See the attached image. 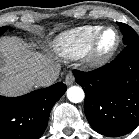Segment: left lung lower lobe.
I'll use <instances>...</instances> for the list:
<instances>
[{
  "instance_id": "obj_1",
  "label": "left lung lower lobe",
  "mask_w": 139,
  "mask_h": 139,
  "mask_svg": "<svg viewBox=\"0 0 139 139\" xmlns=\"http://www.w3.org/2000/svg\"><path fill=\"white\" fill-rule=\"evenodd\" d=\"M73 73L85 92L84 111L95 131L117 137L139 125V42L126 45L102 68Z\"/></svg>"
}]
</instances>
